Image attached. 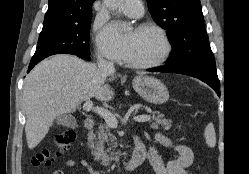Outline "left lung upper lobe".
<instances>
[{
    "mask_svg": "<svg viewBox=\"0 0 249 174\" xmlns=\"http://www.w3.org/2000/svg\"><path fill=\"white\" fill-rule=\"evenodd\" d=\"M154 21L168 32L171 68L215 64L205 31L200 0H147Z\"/></svg>",
    "mask_w": 249,
    "mask_h": 174,
    "instance_id": "left-lung-upper-lobe-1",
    "label": "left lung upper lobe"
}]
</instances>
